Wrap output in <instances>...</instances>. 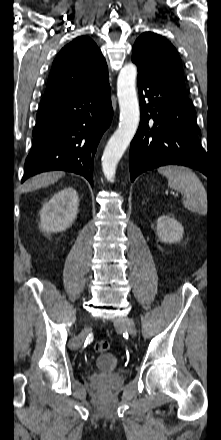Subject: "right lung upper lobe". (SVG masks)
<instances>
[{
	"mask_svg": "<svg viewBox=\"0 0 221 440\" xmlns=\"http://www.w3.org/2000/svg\"><path fill=\"white\" fill-rule=\"evenodd\" d=\"M108 84L105 58L89 37H78L61 49L49 75L44 98L90 92Z\"/></svg>",
	"mask_w": 221,
	"mask_h": 440,
	"instance_id": "1",
	"label": "right lung upper lobe"
}]
</instances>
